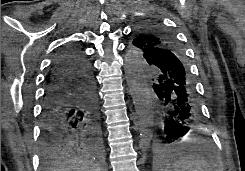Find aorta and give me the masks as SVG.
<instances>
[{
  "instance_id": "aorta-1",
  "label": "aorta",
  "mask_w": 245,
  "mask_h": 171,
  "mask_svg": "<svg viewBox=\"0 0 245 171\" xmlns=\"http://www.w3.org/2000/svg\"><path fill=\"white\" fill-rule=\"evenodd\" d=\"M124 69L139 118L141 144L147 150L152 140L151 127L154 123L155 96L144 73L138 51H127Z\"/></svg>"
}]
</instances>
